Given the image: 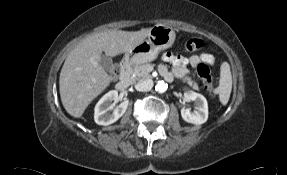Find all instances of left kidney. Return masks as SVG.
Here are the masks:
<instances>
[{"label":"left kidney","mask_w":287,"mask_h":175,"mask_svg":"<svg viewBox=\"0 0 287 175\" xmlns=\"http://www.w3.org/2000/svg\"><path fill=\"white\" fill-rule=\"evenodd\" d=\"M184 97L187 101L194 102V110L182 108L181 116L182 118L192 124L200 125L207 121L208 119V103L206 98L194 91H187L184 93Z\"/></svg>","instance_id":"5707ae66"}]
</instances>
